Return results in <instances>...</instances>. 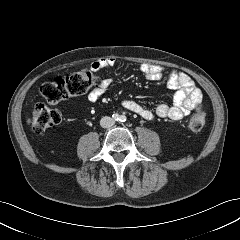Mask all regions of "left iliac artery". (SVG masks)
<instances>
[{
    "mask_svg": "<svg viewBox=\"0 0 240 240\" xmlns=\"http://www.w3.org/2000/svg\"><path fill=\"white\" fill-rule=\"evenodd\" d=\"M127 120V117L125 115L120 116V121L125 122Z\"/></svg>",
    "mask_w": 240,
    "mask_h": 240,
    "instance_id": "left-iliac-artery-1",
    "label": "left iliac artery"
}]
</instances>
